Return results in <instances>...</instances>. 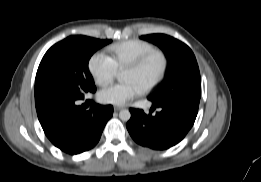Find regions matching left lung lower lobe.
<instances>
[{
	"mask_svg": "<svg viewBox=\"0 0 261 182\" xmlns=\"http://www.w3.org/2000/svg\"><path fill=\"white\" fill-rule=\"evenodd\" d=\"M200 96L189 95L164 104L152 105L161 111L156 115L145 114L140 109H130L131 119L127 129L135 142L152 149H168L180 142L197 116Z\"/></svg>",
	"mask_w": 261,
	"mask_h": 182,
	"instance_id": "0a47b994",
	"label": "left lung lower lobe"
}]
</instances>
